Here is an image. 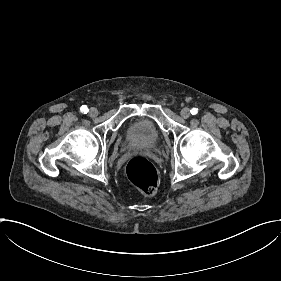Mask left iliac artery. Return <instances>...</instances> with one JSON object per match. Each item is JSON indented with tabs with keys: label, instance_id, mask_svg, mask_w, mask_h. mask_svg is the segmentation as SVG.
Returning a JSON list of instances; mask_svg holds the SVG:
<instances>
[{
	"label": "left iliac artery",
	"instance_id": "obj_1",
	"mask_svg": "<svg viewBox=\"0 0 281 281\" xmlns=\"http://www.w3.org/2000/svg\"><path fill=\"white\" fill-rule=\"evenodd\" d=\"M192 115H196L198 113V108H192V110H190Z\"/></svg>",
	"mask_w": 281,
	"mask_h": 281
}]
</instances>
